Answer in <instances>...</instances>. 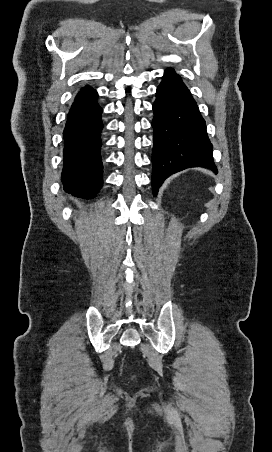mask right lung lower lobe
Wrapping results in <instances>:
<instances>
[{
  "instance_id": "98d812e1",
  "label": "right lung lower lobe",
  "mask_w": 272,
  "mask_h": 452,
  "mask_svg": "<svg viewBox=\"0 0 272 452\" xmlns=\"http://www.w3.org/2000/svg\"><path fill=\"white\" fill-rule=\"evenodd\" d=\"M97 92L89 86L80 90L68 114L64 129V190L91 199L102 187L100 155L102 109Z\"/></svg>"
}]
</instances>
